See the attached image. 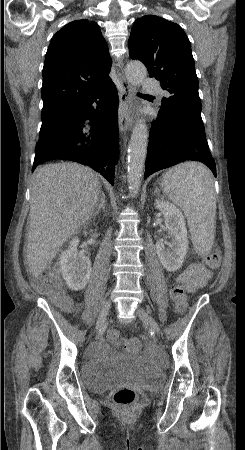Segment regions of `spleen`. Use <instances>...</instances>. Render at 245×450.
Returning a JSON list of instances; mask_svg holds the SVG:
<instances>
[{"label":"spleen","mask_w":245,"mask_h":450,"mask_svg":"<svg viewBox=\"0 0 245 450\" xmlns=\"http://www.w3.org/2000/svg\"><path fill=\"white\" fill-rule=\"evenodd\" d=\"M161 186L184 212L196 253L205 256L215 238L216 197L211 171L199 162L183 163L163 176Z\"/></svg>","instance_id":"obj_1"}]
</instances>
